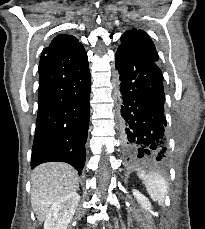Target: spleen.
Listing matches in <instances>:
<instances>
[{
	"instance_id": "obj_1",
	"label": "spleen",
	"mask_w": 205,
	"mask_h": 229,
	"mask_svg": "<svg viewBox=\"0 0 205 229\" xmlns=\"http://www.w3.org/2000/svg\"><path fill=\"white\" fill-rule=\"evenodd\" d=\"M139 178L143 180L148 194L152 200L157 201L159 205L163 206L165 197L168 193V186L165 178L160 174H143L139 173Z\"/></svg>"
}]
</instances>
